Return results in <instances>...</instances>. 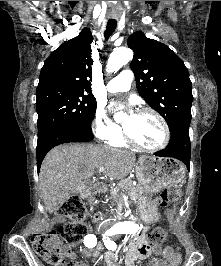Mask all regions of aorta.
I'll return each instance as SVG.
<instances>
[{"mask_svg": "<svg viewBox=\"0 0 221 266\" xmlns=\"http://www.w3.org/2000/svg\"><path fill=\"white\" fill-rule=\"evenodd\" d=\"M132 59V51L127 47H119L113 50L107 62V71L116 72ZM119 116V114L117 115ZM114 233H134L139 226L133 221H124L107 227Z\"/></svg>", "mask_w": 221, "mask_h": 266, "instance_id": "762f6f07", "label": "aorta"}]
</instances>
